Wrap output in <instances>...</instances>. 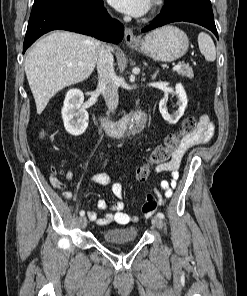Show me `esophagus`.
<instances>
[{
  "mask_svg": "<svg viewBox=\"0 0 247 296\" xmlns=\"http://www.w3.org/2000/svg\"><path fill=\"white\" fill-rule=\"evenodd\" d=\"M124 38L127 44H135L139 42V39L133 34L132 29L128 27L125 28Z\"/></svg>",
  "mask_w": 247,
  "mask_h": 296,
  "instance_id": "obj_1",
  "label": "esophagus"
}]
</instances>
